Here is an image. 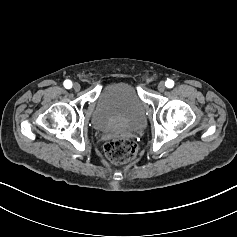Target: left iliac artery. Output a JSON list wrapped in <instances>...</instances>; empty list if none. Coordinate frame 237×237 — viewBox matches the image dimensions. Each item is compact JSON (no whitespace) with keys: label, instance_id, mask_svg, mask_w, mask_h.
I'll return each mask as SVG.
<instances>
[{"label":"left iliac artery","instance_id":"44dca946","mask_svg":"<svg viewBox=\"0 0 237 237\" xmlns=\"http://www.w3.org/2000/svg\"><path fill=\"white\" fill-rule=\"evenodd\" d=\"M165 86L167 88H172L174 86V81L171 79H167V81L165 82Z\"/></svg>","mask_w":237,"mask_h":237}]
</instances>
